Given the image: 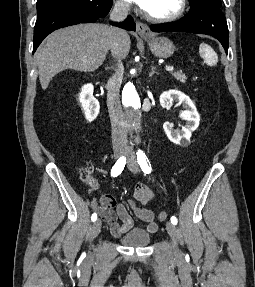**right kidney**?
Wrapping results in <instances>:
<instances>
[{
	"instance_id": "ca27d5eb",
	"label": "right kidney",
	"mask_w": 255,
	"mask_h": 287,
	"mask_svg": "<svg viewBox=\"0 0 255 287\" xmlns=\"http://www.w3.org/2000/svg\"><path fill=\"white\" fill-rule=\"evenodd\" d=\"M93 86L92 84H86L79 94V102L82 104L84 110L85 118L88 122H93L97 118L100 110V104L96 98L93 96Z\"/></svg>"
}]
</instances>
